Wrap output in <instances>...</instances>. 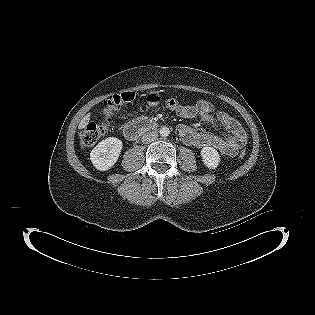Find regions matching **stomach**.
I'll return each mask as SVG.
<instances>
[{
	"label": "stomach",
	"instance_id": "stomach-1",
	"mask_svg": "<svg viewBox=\"0 0 315 315\" xmlns=\"http://www.w3.org/2000/svg\"><path fill=\"white\" fill-rule=\"evenodd\" d=\"M158 100H159V94L157 92H150L148 94V103L150 105H157L158 104Z\"/></svg>",
	"mask_w": 315,
	"mask_h": 315
}]
</instances>
